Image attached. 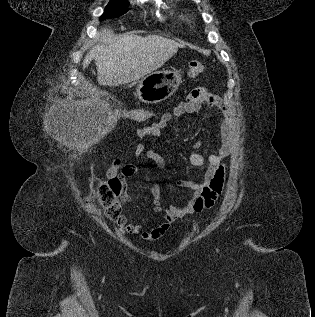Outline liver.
<instances>
[{
	"label": "liver",
	"instance_id": "6515ba94",
	"mask_svg": "<svg viewBox=\"0 0 315 317\" xmlns=\"http://www.w3.org/2000/svg\"><path fill=\"white\" fill-rule=\"evenodd\" d=\"M184 47L183 43L159 35H113L103 29L101 43L87 52L82 66L87 68L94 59L98 83L119 86L144 78Z\"/></svg>",
	"mask_w": 315,
	"mask_h": 317
}]
</instances>
